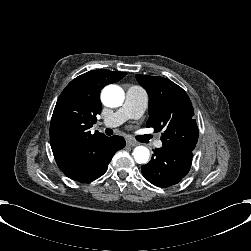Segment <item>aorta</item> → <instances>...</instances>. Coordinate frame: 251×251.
<instances>
[{
	"instance_id": "1",
	"label": "aorta",
	"mask_w": 251,
	"mask_h": 251,
	"mask_svg": "<svg viewBox=\"0 0 251 251\" xmlns=\"http://www.w3.org/2000/svg\"><path fill=\"white\" fill-rule=\"evenodd\" d=\"M125 94L123 89L118 85H108L101 92V100L104 105L109 107L121 106L124 102ZM132 155L137 163L145 164L149 161L150 152L145 146L134 148Z\"/></svg>"
}]
</instances>
